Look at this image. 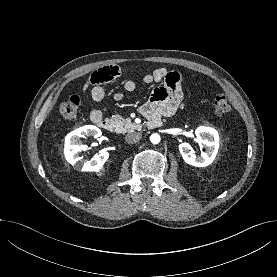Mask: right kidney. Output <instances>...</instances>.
<instances>
[{
    "mask_svg": "<svg viewBox=\"0 0 277 277\" xmlns=\"http://www.w3.org/2000/svg\"><path fill=\"white\" fill-rule=\"evenodd\" d=\"M102 134L101 130L93 125L83 126L65 137L64 154L65 158L71 165H75L77 170L96 171L109 158V153L102 151L99 155H95L91 160H83L78 153L86 149V145L80 143V138L94 137L98 138Z\"/></svg>",
    "mask_w": 277,
    "mask_h": 277,
    "instance_id": "1",
    "label": "right kidney"
}]
</instances>
